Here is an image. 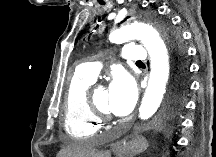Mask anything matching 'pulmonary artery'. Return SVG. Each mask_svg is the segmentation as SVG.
Masks as SVG:
<instances>
[{"mask_svg":"<svg viewBox=\"0 0 216 157\" xmlns=\"http://www.w3.org/2000/svg\"><path fill=\"white\" fill-rule=\"evenodd\" d=\"M121 58L128 61H144L147 58V52L141 45L130 44L124 47ZM100 70L101 64L98 61H91L79 65L76 73L95 81Z\"/></svg>","mask_w":216,"mask_h":157,"instance_id":"e3ab8cb5","label":"pulmonary artery"}]
</instances>
